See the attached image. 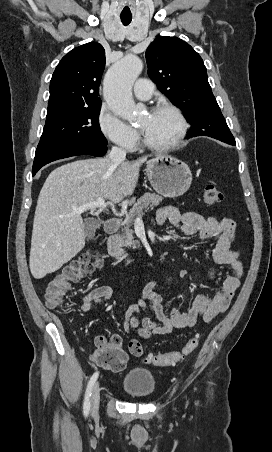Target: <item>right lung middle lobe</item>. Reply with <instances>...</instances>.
I'll list each match as a JSON object with an SVG mask.
<instances>
[{"label":"right lung middle lobe","mask_w":272,"mask_h":452,"mask_svg":"<svg viewBox=\"0 0 272 452\" xmlns=\"http://www.w3.org/2000/svg\"><path fill=\"white\" fill-rule=\"evenodd\" d=\"M101 106L68 109L47 114L37 148L59 147L74 143L107 145L99 126Z\"/></svg>","instance_id":"dd1d6c3e"}]
</instances>
